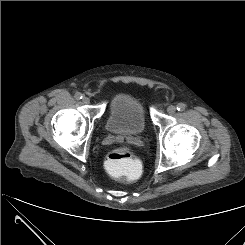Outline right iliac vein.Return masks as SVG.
<instances>
[{
  "mask_svg": "<svg viewBox=\"0 0 245 245\" xmlns=\"http://www.w3.org/2000/svg\"><path fill=\"white\" fill-rule=\"evenodd\" d=\"M82 101H83L84 104H89L90 103V99L88 97H84Z\"/></svg>",
  "mask_w": 245,
  "mask_h": 245,
  "instance_id": "right-iliac-vein-1",
  "label": "right iliac vein"
}]
</instances>
